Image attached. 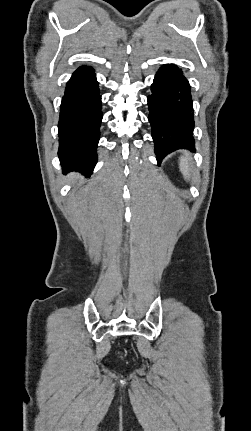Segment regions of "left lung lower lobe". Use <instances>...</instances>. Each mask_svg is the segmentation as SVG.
Here are the masks:
<instances>
[{"instance_id":"1","label":"left lung lower lobe","mask_w":251,"mask_h":431,"mask_svg":"<svg viewBox=\"0 0 251 431\" xmlns=\"http://www.w3.org/2000/svg\"><path fill=\"white\" fill-rule=\"evenodd\" d=\"M148 96L149 121L158 163L177 149L194 151V117L190 85L173 64L157 72Z\"/></svg>"}]
</instances>
